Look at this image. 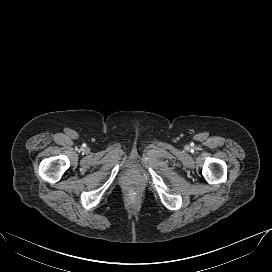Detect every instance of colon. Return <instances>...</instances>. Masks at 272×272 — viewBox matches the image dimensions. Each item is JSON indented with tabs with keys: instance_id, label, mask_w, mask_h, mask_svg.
Instances as JSON below:
<instances>
[{
	"instance_id": "1",
	"label": "colon",
	"mask_w": 272,
	"mask_h": 272,
	"mask_svg": "<svg viewBox=\"0 0 272 272\" xmlns=\"http://www.w3.org/2000/svg\"><path fill=\"white\" fill-rule=\"evenodd\" d=\"M139 197V194L136 190H131L128 193V199L131 201H136Z\"/></svg>"
}]
</instances>
